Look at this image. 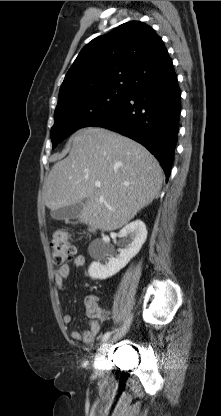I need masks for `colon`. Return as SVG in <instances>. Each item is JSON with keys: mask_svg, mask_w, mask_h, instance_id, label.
Here are the masks:
<instances>
[{"mask_svg": "<svg viewBox=\"0 0 221 416\" xmlns=\"http://www.w3.org/2000/svg\"><path fill=\"white\" fill-rule=\"evenodd\" d=\"M50 248L53 262L59 265L64 263L75 252V248L72 245L68 235L61 231L53 234L50 241Z\"/></svg>", "mask_w": 221, "mask_h": 416, "instance_id": "5ec220e1", "label": "colon"}]
</instances>
